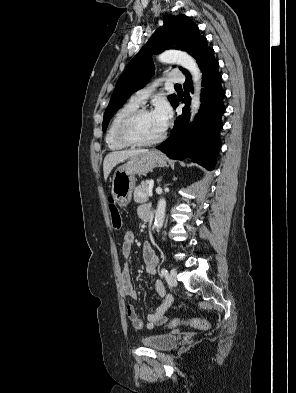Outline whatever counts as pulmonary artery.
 <instances>
[{"instance_id": "pulmonary-artery-1", "label": "pulmonary artery", "mask_w": 296, "mask_h": 393, "mask_svg": "<svg viewBox=\"0 0 296 393\" xmlns=\"http://www.w3.org/2000/svg\"><path fill=\"white\" fill-rule=\"evenodd\" d=\"M165 80L170 83L179 84V83H183L185 81V78L178 71L174 70L167 75ZM153 90H154V86H148L142 88L131 96L130 101L135 104L141 105L145 102V100L148 98V96Z\"/></svg>"}]
</instances>
